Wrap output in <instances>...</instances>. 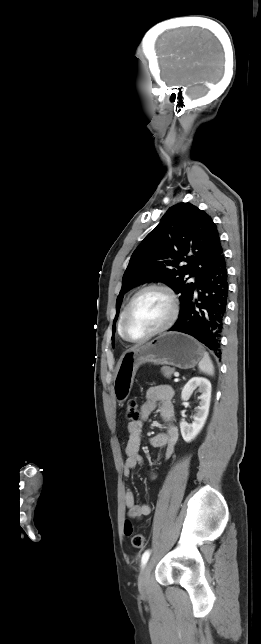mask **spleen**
<instances>
[{"instance_id": "1", "label": "spleen", "mask_w": 261, "mask_h": 644, "mask_svg": "<svg viewBox=\"0 0 261 644\" xmlns=\"http://www.w3.org/2000/svg\"><path fill=\"white\" fill-rule=\"evenodd\" d=\"M198 367L201 372L211 376L214 375V366L207 352L204 353Z\"/></svg>"}]
</instances>
